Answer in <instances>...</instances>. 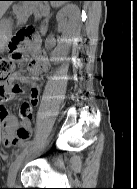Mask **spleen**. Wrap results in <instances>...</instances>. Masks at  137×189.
I'll return each instance as SVG.
<instances>
[{"label": "spleen", "mask_w": 137, "mask_h": 189, "mask_svg": "<svg viewBox=\"0 0 137 189\" xmlns=\"http://www.w3.org/2000/svg\"><path fill=\"white\" fill-rule=\"evenodd\" d=\"M64 3H65V2H63V1H52V2H51V5H52L53 7H60V6H62Z\"/></svg>", "instance_id": "1"}]
</instances>
